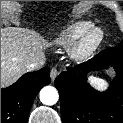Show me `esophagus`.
Here are the masks:
<instances>
[{"label":"esophagus","instance_id":"obj_1","mask_svg":"<svg viewBox=\"0 0 123 123\" xmlns=\"http://www.w3.org/2000/svg\"><path fill=\"white\" fill-rule=\"evenodd\" d=\"M58 74H59V71L57 70V68L53 67L50 71L51 80L54 81L55 78L58 76Z\"/></svg>","mask_w":123,"mask_h":123}]
</instances>
